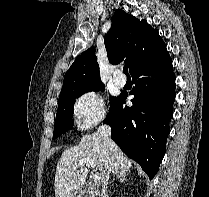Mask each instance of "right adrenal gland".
I'll return each mask as SVG.
<instances>
[{
	"label": "right adrenal gland",
	"mask_w": 209,
	"mask_h": 197,
	"mask_svg": "<svg viewBox=\"0 0 209 197\" xmlns=\"http://www.w3.org/2000/svg\"><path fill=\"white\" fill-rule=\"evenodd\" d=\"M115 178H116V180H118L120 183H123V182L126 180V174L123 173V172L116 173L115 176H114V178L112 179L111 182H114ZM111 182H110V183H111Z\"/></svg>",
	"instance_id": "1"
}]
</instances>
